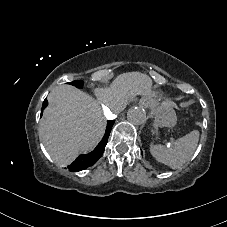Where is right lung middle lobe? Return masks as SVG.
Wrapping results in <instances>:
<instances>
[{
	"label": "right lung middle lobe",
	"mask_w": 227,
	"mask_h": 227,
	"mask_svg": "<svg viewBox=\"0 0 227 227\" xmlns=\"http://www.w3.org/2000/svg\"><path fill=\"white\" fill-rule=\"evenodd\" d=\"M69 84L73 85V86H76L78 88H82L83 87V81L82 80H76V81H73V82H70ZM43 105H47V102L45 101Z\"/></svg>",
	"instance_id": "obj_1"
}]
</instances>
